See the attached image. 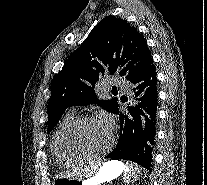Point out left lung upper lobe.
I'll return each instance as SVG.
<instances>
[{
    "mask_svg": "<svg viewBox=\"0 0 207 185\" xmlns=\"http://www.w3.org/2000/svg\"><path fill=\"white\" fill-rule=\"evenodd\" d=\"M152 64L147 43L137 29L121 18L106 16L52 79L48 133L71 106L98 102L103 109L118 113V98L98 101L96 82L105 74H117L130 81Z\"/></svg>",
    "mask_w": 207,
    "mask_h": 185,
    "instance_id": "obj_1",
    "label": "left lung upper lobe"
}]
</instances>
